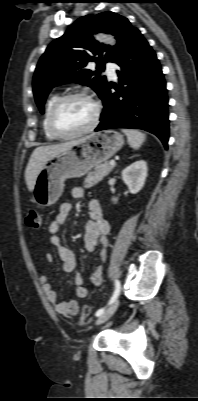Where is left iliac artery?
Listing matches in <instances>:
<instances>
[{"label": "left iliac artery", "mask_w": 198, "mask_h": 401, "mask_svg": "<svg viewBox=\"0 0 198 401\" xmlns=\"http://www.w3.org/2000/svg\"><path fill=\"white\" fill-rule=\"evenodd\" d=\"M114 285H115V290H114V293H113V295H112V297H111V299H110L108 305L113 304V303L117 300V298H118V296H119V294H120L121 285H120L119 280L116 279ZM104 311H105V307H104V308H101V309H99V310H97L96 313H95V315H96L97 317H99V316H101V315L104 313Z\"/></svg>", "instance_id": "left-iliac-artery-1"}]
</instances>
